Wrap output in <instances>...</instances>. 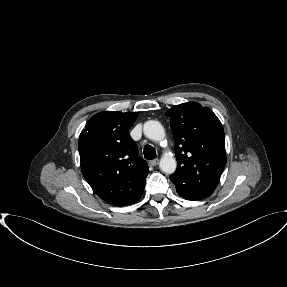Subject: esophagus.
I'll return each instance as SVG.
<instances>
[{
    "label": "esophagus",
    "mask_w": 287,
    "mask_h": 287,
    "mask_svg": "<svg viewBox=\"0 0 287 287\" xmlns=\"http://www.w3.org/2000/svg\"><path fill=\"white\" fill-rule=\"evenodd\" d=\"M158 163H159V159H153L149 161V165L153 167L158 165Z\"/></svg>",
    "instance_id": "1"
}]
</instances>
